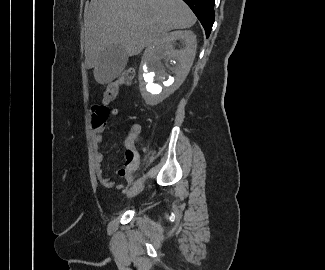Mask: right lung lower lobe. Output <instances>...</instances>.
I'll use <instances>...</instances> for the list:
<instances>
[{
    "instance_id": "98d812e1",
    "label": "right lung lower lobe",
    "mask_w": 325,
    "mask_h": 270,
    "mask_svg": "<svg viewBox=\"0 0 325 270\" xmlns=\"http://www.w3.org/2000/svg\"><path fill=\"white\" fill-rule=\"evenodd\" d=\"M195 13L208 37L214 23L215 0H183Z\"/></svg>"
}]
</instances>
